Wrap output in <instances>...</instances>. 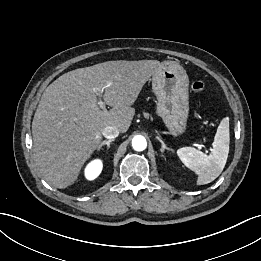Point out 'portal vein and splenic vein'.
Listing matches in <instances>:
<instances>
[{"label":"portal vein and splenic vein","mask_w":261,"mask_h":261,"mask_svg":"<svg viewBox=\"0 0 261 261\" xmlns=\"http://www.w3.org/2000/svg\"><path fill=\"white\" fill-rule=\"evenodd\" d=\"M95 93L99 96V99H98V105L100 107V109H105V102L101 100V94L103 93L104 91V88H97L94 90Z\"/></svg>","instance_id":"18ae733b"}]
</instances>
